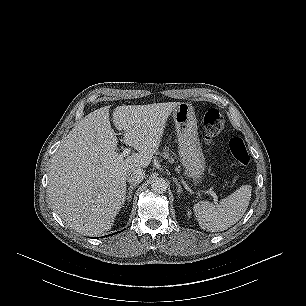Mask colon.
Returning <instances> with one entry per match:
<instances>
[{
	"label": "colon",
	"mask_w": 306,
	"mask_h": 306,
	"mask_svg": "<svg viewBox=\"0 0 306 306\" xmlns=\"http://www.w3.org/2000/svg\"><path fill=\"white\" fill-rule=\"evenodd\" d=\"M224 126L225 119L217 109L211 108L205 113L203 117V131L207 141L218 135ZM229 149L238 163L247 165L250 162V154L240 137L235 136L229 140Z\"/></svg>",
	"instance_id": "5ec220e1"
}]
</instances>
